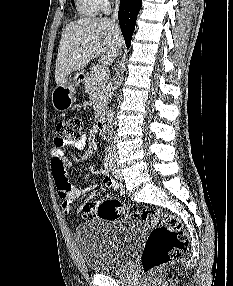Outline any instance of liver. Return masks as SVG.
Listing matches in <instances>:
<instances>
[{
	"instance_id": "obj_1",
	"label": "liver",
	"mask_w": 233,
	"mask_h": 286,
	"mask_svg": "<svg viewBox=\"0 0 233 286\" xmlns=\"http://www.w3.org/2000/svg\"><path fill=\"white\" fill-rule=\"evenodd\" d=\"M122 45L120 28L112 20L85 18L68 23L61 35L56 59V83H62L67 75L84 68L99 55L104 63H112Z\"/></svg>"
}]
</instances>
